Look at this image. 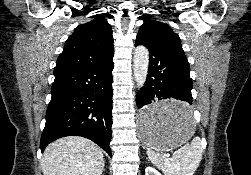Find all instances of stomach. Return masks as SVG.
<instances>
[{"mask_svg": "<svg viewBox=\"0 0 251 175\" xmlns=\"http://www.w3.org/2000/svg\"><path fill=\"white\" fill-rule=\"evenodd\" d=\"M183 104V100H154L152 105L140 109V141L153 149L169 151L186 143L191 135L198 134L199 130L195 129L198 128L197 118H192V114H181L182 111H193V106Z\"/></svg>", "mask_w": 251, "mask_h": 175, "instance_id": "0dacf381", "label": "stomach"}]
</instances>
